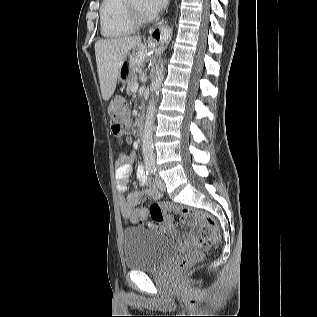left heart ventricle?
Returning a JSON list of instances; mask_svg holds the SVG:
<instances>
[{
	"label": "left heart ventricle",
	"instance_id": "obj_1",
	"mask_svg": "<svg viewBox=\"0 0 317 317\" xmlns=\"http://www.w3.org/2000/svg\"><path fill=\"white\" fill-rule=\"evenodd\" d=\"M132 5L143 15H145L144 8H143V3L144 0H131Z\"/></svg>",
	"mask_w": 317,
	"mask_h": 317
}]
</instances>
